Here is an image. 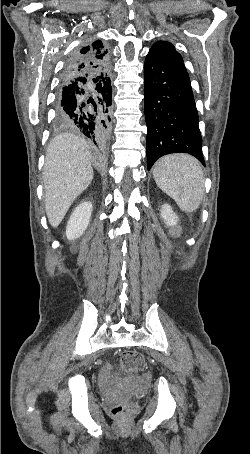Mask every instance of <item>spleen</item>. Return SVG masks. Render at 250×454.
Segmentation results:
<instances>
[{
  "mask_svg": "<svg viewBox=\"0 0 250 454\" xmlns=\"http://www.w3.org/2000/svg\"><path fill=\"white\" fill-rule=\"evenodd\" d=\"M157 186L186 212L195 211L204 193V175L200 163L190 155L162 157L153 169Z\"/></svg>",
  "mask_w": 250,
  "mask_h": 454,
  "instance_id": "spleen-1",
  "label": "spleen"
}]
</instances>
